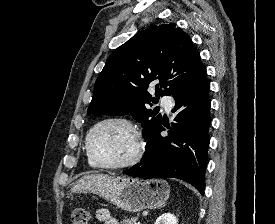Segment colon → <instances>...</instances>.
I'll use <instances>...</instances> for the list:
<instances>
[{"label":"colon","instance_id":"obj_1","mask_svg":"<svg viewBox=\"0 0 275 224\" xmlns=\"http://www.w3.org/2000/svg\"><path fill=\"white\" fill-rule=\"evenodd\" d=\"M71 219L72 224H89L90 214L85 208L78 207L73 210Z\"/></svg>","mask_w":275,"mask_h":224}]
</instances>
